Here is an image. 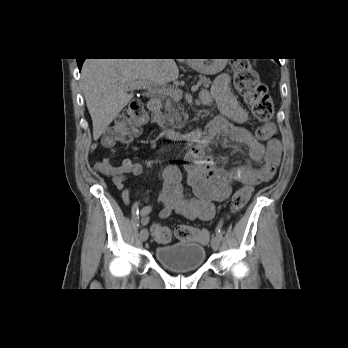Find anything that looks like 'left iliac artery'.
I'll return each instance as SVG.
<instances>
[{"label":"left iliac artery","mask_w":348,"mask_h":348,"mask_svg":"<svg viewBox=\"0 0 348 348\" xmlns=\"http://www.w3.org/2000/svg\"><path fill=\"white\" fill-rule=\"evenodd\" d=\"M216 236L222 240L223 239V233L221 231V225H219L217 228H216Z\"/></svg>","instance_id":"1"}]
</instances>
